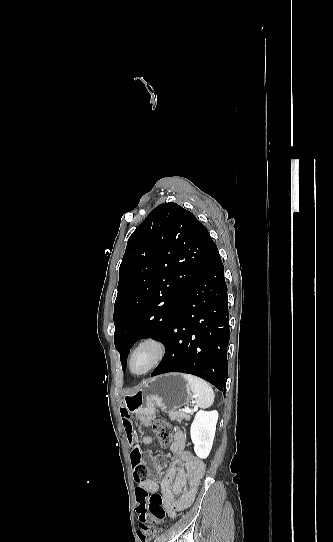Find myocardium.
<instances>
[{
  "mask_svg": "<svg viewBox=\"0 0 333 542\" xmlns=\"http://www.w3.org/2000/svg\"><path fill=\"white\" fill-rule=\"evenodd\" d=\"M148 350L151 352L149 364L141 371L134 369V362L137 356ZM166 347L162 341L155 337H146L140 340L132 349L127 360L128 371L134 376H145L156 369L165 359Z\"/></svg>",
  "mask_w": 333,
  "mask_h": 542,
  "instance_id": "1",
  "label": "myocardium"
}]
</instances>
